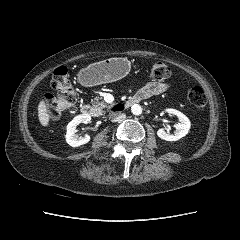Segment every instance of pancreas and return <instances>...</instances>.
Instances as JSON below:
<instances>
[{"mask_svg":"<svg viewBox=\"0 0 240 240\" xmlns=\"http://www.w3.org/2000/svg\"><path fill=\"white\" fill-rule=\"evenodd\" d=\"M92 105L101 113L103 112V109H109L112 106V105L106 104L104 101H99L98 99L93 101Z\"/></svg>","mask_w":240,"mask_h":240,"instance_id":"obj_1","label":"pancreas"}]
</instances>
